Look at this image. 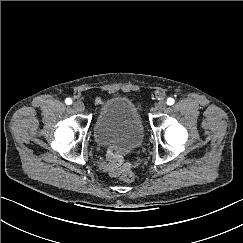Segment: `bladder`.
<instances>
[{
  "mask_svg": "<svg viewBox=\"0 0 243 243\" xmlns=\"http://www.w3.org/2000/svg\"><path fill=\"white\" fill-rule=\"evenodd\" d=\"M93 138L100 146H115L126 151L140 148L145 127L134 102L125 96L106 100L94 121Z\"/></svg>",
  "mask_w": 243,
  "mask_h": 243,
  "instance_id": "31cf9c89",
  "label": "bladder"
}]
</instances>
